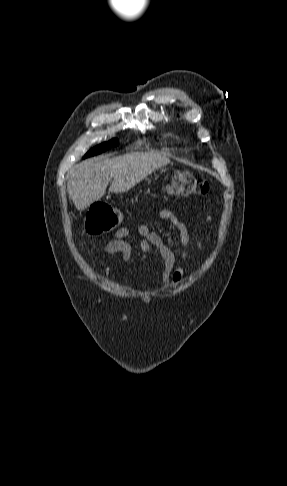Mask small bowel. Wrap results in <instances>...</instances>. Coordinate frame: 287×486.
I'll list each match as a JSON object with an SVG mask.
<instances>
[{
    "mask_svg": "<svg viewBox=\"0 0 287 486\" xmlns=\"http://www.w3.org/2000/svg\"><path fill=\"white\" fill-rule=\"evenodd\" d=\"M158 217L168 221L178 230L181 243L180 258L182 261H186L188 258V246L191 242V235L187 226L177 213L170 210L159 211ZM129 239L134 240L142 252H149L152 247L158 250L163 259L162 283L165 287L170 284L177 285L181 282L184 274L183 266L175 267V254L164 239L147 225L139 226L135 233L127 228L118 229L114 234V238L105 244L104 251L109 255L120 254L124 264H127L132 255V246ZM195 246L197 250H201V241L196 240Z\"/></svg>",
    "mask_w": 287,
    "mask_h": 486,
    "instance_id": "obj_1",
    "label": "small bowel"
}]
</instances>
